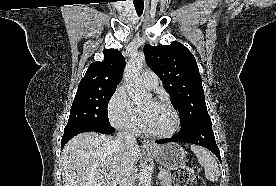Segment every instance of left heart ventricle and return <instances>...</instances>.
Wrapping results in <instances>:
<instances>
[{
  "label": "left heart ventricle",
  "mask_w": 276,
  "mask_h": 186,
  "mask_svg": "<svg viewBox=\"0 0 276 186\" xmlns=\"http://www.w3.org/2000/svg\"><path fill=\"white\" fill-rule=\"evenodd\" d=\"M144 116V124L152 132H167L171 130L175 123L172 111L159 103L150 101L141 108Z\"/></svg>",
  "instance_id": "obj_1"
}]
</instances>
